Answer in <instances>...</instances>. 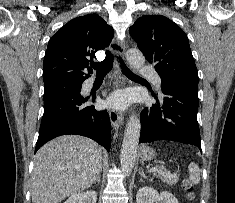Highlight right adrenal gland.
I'll use <instances>...</instances> for the list:
<instances>
[{
	"label": "right adrenal gland",
	"mask_w": 235,
	"mask_h": 203,
	"mask_svg": "<svg viewBox=\"0 0 235 203\" xmlns=\"http://www.w3.org/2000/svg\"><path fill=\"white\" fill-rule=\"evenodd\" d=\"M96 183H98V184L101 183V175L100 174L98 175L97 179L94 181L93 184H96Z\"/></svg>",
	"instance_id": "obj_1"
}]
</instances>
